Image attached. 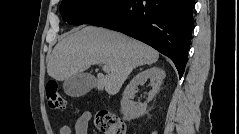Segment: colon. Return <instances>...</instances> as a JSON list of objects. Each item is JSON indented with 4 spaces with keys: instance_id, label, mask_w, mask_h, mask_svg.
<instances>
[{
    "instance_id": "5ec220e1",
    "label": "colon",
    "mask_w": 239,
    "mask_h": 134,
    "mask_svg": "<svg viewBox=\"0 0 239 134\" xmlns=\"http://www.w3.org/2000/svg\"><path fill=\"white\" fill-rule=\"evenodd\" d=\"M46 100L50 108L58 111L66 110V101L61 95L55 80H49L45 90ZM96 129L103 134H125L124 122L114 113L98 112L93 119Z\"/></svg>"
}]
</instances>
